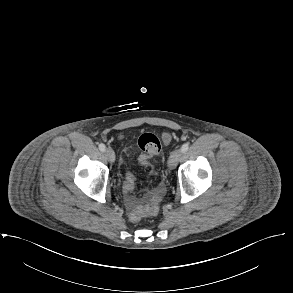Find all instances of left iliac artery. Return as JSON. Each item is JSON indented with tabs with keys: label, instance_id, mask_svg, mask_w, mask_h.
Returning a JSON list of instances; mask_svg holds the SVG:
<instances>
[{
	"label": "left iliac artery",
	"instance_id": "44dca946",
	"mask_svg": "<svg viewBox=\"0 0 293 293\" xmlns=\"http://www.w3.org/2000/svg\"><path fill=\"white\" fill-rule=\"evenodd\" d=\"M189 148V144L188 143H184L182 146H181V151L183 153H185Z\"/></svg>",
	"mask_w": 293,
	"mask_h": 293
}]
</instances>
